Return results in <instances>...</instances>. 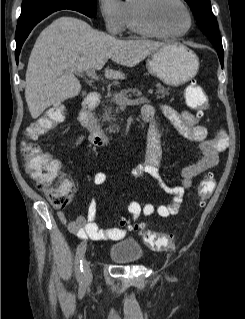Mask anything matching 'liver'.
Here are the masks:
<instances>
[{"mask_svg":"<svg viewBox=\"0 0 245 319\" xmlns=\"http://www.w3.org/2000/svg\"><path fill=\"white\" fill-rule=\"evenodd\" d=\"M163 45L151 40H119L71 16L54 20L38 36L28 61L25 98L32 118L80 93L74 73L101 69L108 59L134 67ZM105 77L124 79L125 75L106 68Z\"/></svg>","mask_w":245,"mask_h":319,"instance_id":"1","label":"liver"}]
</instances>
